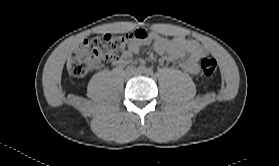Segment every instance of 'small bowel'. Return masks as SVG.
Instances as JSON below:
<instances>
[{
    "label": "small bowel",
    "mask_w": 279,
    "mask_h": 166,
    "mask_svg": "<svg viewBox=\"0 0 279 166\" xmlns=\"http://www.w3.org/2000/svg\"><path fill=\"white\" fill-rule=\"evenodd\" d=\"M141 31L145 33V37L130 44L123 58L116 61L117 64L126 65L130 63L133 55L138 54L143 46L152 45L154 50L164 56L166 61L182 60L181 67L186 72L190 74L198 73V60L207 53L200 43L182 35L166 38L157 33Z\"/></svg>",
    "instance_id": "obj_1"
}]
</instances>
